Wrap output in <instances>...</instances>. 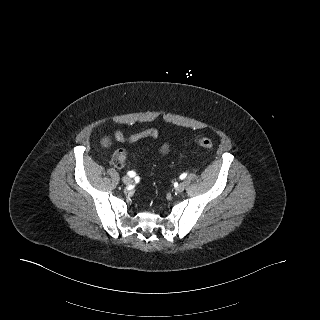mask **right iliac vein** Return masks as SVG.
Wrapping results in <instances>:
<instances>
[{"mask_svg": "<svg viewBox=\"0 0 320 320\" xmlns=\"http://www.w3.org/2000/svg\"><path fill=\"white\" fill-rule=\"evenodd\" d=\"M122 181H123V183L126 184V185H129V184L132 183V179H131L129 176H124V177L122 178Z\"/></svg>", "mask_w": 320, "mask_h": 320, "instance_id": "63e3f726", "label": "right iliac vein"}]
</instances>
